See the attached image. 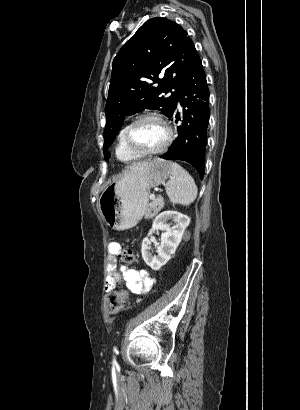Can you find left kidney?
Wrapping results in <instances>:
<instances>
[{"label": "left kidney", "mask_w": 300, "mask_h": 410, "mask_svg": "<svg viewBox=\"0 0 300 410\" xmlns=\"http://www.w3.org/2000/svg\"><path fill=\"white\" fill-rule=\"evenodd\" d=\"M169 220L176 223L174 229L169 227L167 223ZM189 223L190 218L187 215L176 211H163L156 216L147 237L142 241L141 247L142 258L152 270H159L171 259ZM160 229H164L165 232L161 236V245L157 247L158 255L156 256L150 252L151 235Z\"/></svg>", "instance_id": "5707ae66"}]
</instances>
